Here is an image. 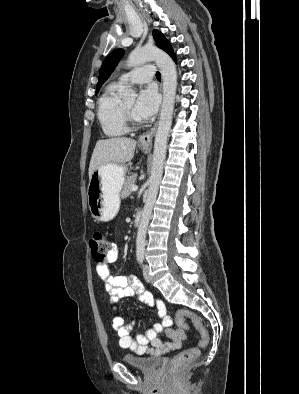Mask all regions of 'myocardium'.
I'll return each mask as SVG.
<instances>
[{
    "label": "myocardium",
    "mask_w": 299,
    "mask_h": 394,
    "mask_svg": "<svg viewBox=\"0 0 299 394\" xmlns=\"http://www.w3.org/2000/svg\"><path fill=\"white\" fill-rule=\"evenodd\" d=\"M121 108H122V113H123L126 124L130 127L136 126L138 124V120L134 116V114H132L130 111H128L125 108L124 104H122Z\"/></svg>",
    "instance_id": "1"
}]
</instances>
